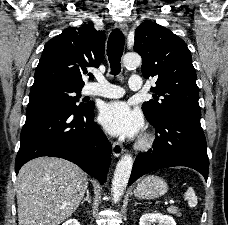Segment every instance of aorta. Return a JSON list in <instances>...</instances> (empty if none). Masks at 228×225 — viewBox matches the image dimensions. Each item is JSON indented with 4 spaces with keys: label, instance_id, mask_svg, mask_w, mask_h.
<instances>
[{
    "label": "aorta",
    "instance_id": "aorta-1",
    "mask_svg": "<svg viewBox=\"0 0 228 225\" xmlns=\"http://www.w3.org/2000/svg\"><path fill=\"white\" fill-rule=\"evenodd\" d=\"M123 64L126 68H136L141 64V56L137 52H127L123 56ZM133 167V161L131 155H123L120 161L117 163V167L114 171V177L112 179V193L114 197V203H117L125 193L127 183L130 179L131 171Z\"/></svg>",
    "mask_w": 228,
    "mask_h": 225
}]
</instances>
